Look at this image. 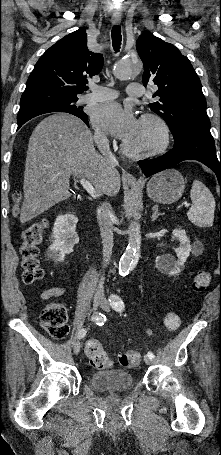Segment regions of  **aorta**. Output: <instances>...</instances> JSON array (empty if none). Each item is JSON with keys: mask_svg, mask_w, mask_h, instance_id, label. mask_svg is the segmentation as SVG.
Instances as JSON below:
<instances>
[{"mask_svg": "<svg viewBox=\"0 0 221 455\" xmlns=\"http://www.w3.org/2000/svg\"><path fill=\"white\" fill-rule=\"evenodd\" d=\"M142 63L139 60L125 58L119 61L114 67V76L119 80H128L142 71ZM129 217L133 212L128 213ZM128 245L119 262V273L126 274L133 269L140 256L141 234L140 224L137 221H131L127 230Z\"/></svg>", "mask_w": 221, "mask_h": 455, "instance_id": "aorta-1", "label": "aorta"}]
</instances>
